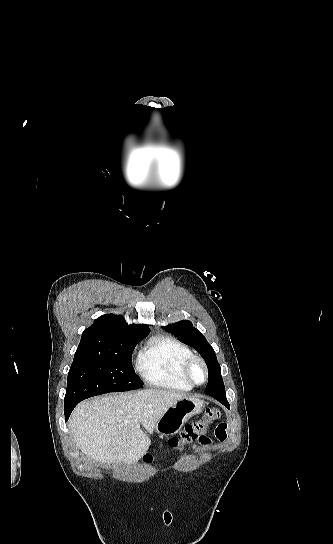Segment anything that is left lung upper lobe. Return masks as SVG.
I'll return each instance as SVG.
<instances>
[{
	"mask_svg": "<svg viewBox=\"0 0 333 544\" xmlns=\"http://www.w3.org/2000/svg\"><path fill=\"white\" fill-rule=\"evenodd\" d=\"M163 328L176 336L181 342L193 347L204 358L208 367L209 376L205 394L210 392H225L221 368L217 361L215 351L207 342L203 334L193 327L189 320H182L169 324Z\"/></svg>",
	"mask_w": 333,
	"mask_h": 544,
	"instance_id": "5c2ea615",
	"label": "left lung upper lobe"
}]
</instances>
